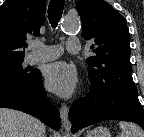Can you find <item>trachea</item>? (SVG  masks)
I'll use <instances>...</instances> for the list:
<instances>
[{
    "label": "trachea",
    "mask_w": 144,
    "mask_h": 137,
    "mask_svg": "<svg viewBox=\"0 0 144 137\" xmlns=\"http://www.w3.org/2000/svg\"><path fill=\"white\" fill-rule=\"evenodd\" d=\"M65 0H51L48 6V19L53 28L57 27L63 13Z\"/></svg>",
    "instance_id": "1"
}]
</instances>
